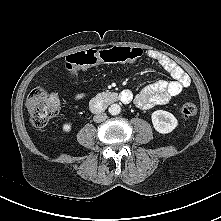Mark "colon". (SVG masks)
Returning <instances> with one entry per match:
<instances>
[{
    "label": "colon",
    "mask_w": 221,
    "mask_h": 221,
    "mask_svg": "<svg viewBox=\"0 0 221 221\" xmlns=\"http://www.w3.org/2000/svg\"><path fill=\"white\" fill-rule=\"evenodd\" d=\"M141 56L142 50L137 47H113L104 50L88 49L69 55L66 58V67L68 70L76 72L99 63H133L138 61ZM27 108L33 126L40 128L56 116L59 100L54 93L38 87L29 94ZM181 114L185 118L194 117L197 114L196 105L192 103L183 104Z\"/></svg>",
    "instance_id": "1"
}]
</instances>
